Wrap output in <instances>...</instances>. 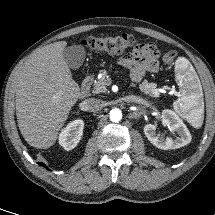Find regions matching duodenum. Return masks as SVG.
Segmentation results:
<instances>
[{"instance_id":"obj_1","label":"duodenum","mask_w":215,"mask_h":215,"mask_svg":"<svg viewBox=\"0 0 215 215\" xmlns=\"http://www.w3.org/2000/svg\"><path fill=\"white\" fill-rule=\"evenodd\" d=\"M92 80H93L92 75H87L84 78V80H83V82L81 84V91H80V97L81 98H85L89 94L91 84H92Z\"/></svg>"}]
</instances>
